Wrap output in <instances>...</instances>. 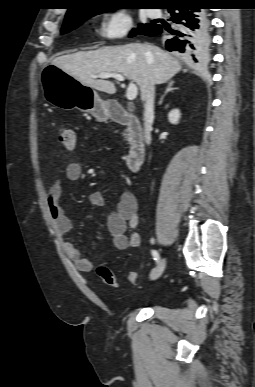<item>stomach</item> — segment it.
<instances>
[{"mask_svg": "<svg viewBox=\"0 0 255 387\" xmlns=\"http://www.w3.org/2000/svg\"><path fill=\"white\" fill-rule=\"evenodd\" d=\"M41 82L44 97L53 106L61 109L78 108L101 122L110 117L109 102L102 100L94 89L81 84L65 70L49 66L43 70Z\"/></svg>", "mask_w": 255, "mask_h": 387, "instance_id": "1", "label": "stomach"}]
</instances>
